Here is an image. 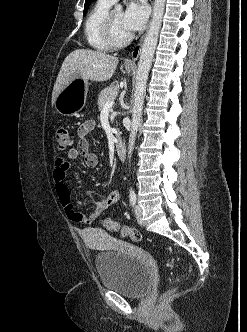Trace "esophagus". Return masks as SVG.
Here are the masks:
<instances>
[{
    "mask_svg": "<svg viewBox=\"0 0 247 332\" xmlns=\"http://www.w3.org/2000/svg\"><path fill=\"white\" fill-rule=\"evenodd\" d=\"M150 2L153 5V0H150ZM144 37H145V35H143L141 37L138 44L134 47V49L132 50V52L130 54V57L128 59H126L125 65H127V66H134L135 65V62H136V60H137V58L140 54V51H141V46H142Z\"/></svg>",
    "mask_w": 247,
    "mask_h": 332,
    "instance_id": "obj_1",
    "label": "esophagus"
}]
</instances>
